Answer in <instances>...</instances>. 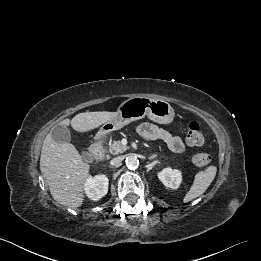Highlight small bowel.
<instances>
[{
    "mask_svg": "<svg viewBox=\"0 0 261 261\" xmlns=\"http://www.w3.org/2000/svg\"><path fill=\"white\" fill-rule=\"evenodd\" d=\"M138 132L146 140H163L175 153L180 154L186 150V146L180 137L171 135L154 124L143 123L139 126Z\"/></svg>",
    "mask_w": 261,
    "mask_h": 261,
    "instance_id": "c3829d8e",
    "label": "small bowel"
}]
</instances>
